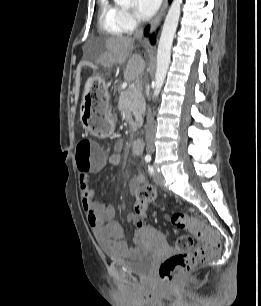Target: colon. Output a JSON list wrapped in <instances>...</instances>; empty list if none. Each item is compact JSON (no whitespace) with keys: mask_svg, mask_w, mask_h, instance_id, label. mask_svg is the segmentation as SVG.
Returning a JSON list of instances; mask_svg holds the SVG:
<instances>
[{"mask_svg":"<svg viewBox=\"0 0 261 306\" xmlns=\"http://www.w3.org/2000/svg\"><path fill=\"white\" fill-rule=\"evenodd\" d=\"M98 130L104 137L110 135L108 127L99 128ZM103 160V151L90 140L84 139L77 144L76 162L79 170L87 171L101 164ZM154 196V188L151 185L139 187L135 205V212L138 217L134 222L137 228L143 226L142 215L145 214ZM170 220L173 225L186 229L188 233L179 235L176 238L175 247L178 252L166 258L159 266V276L167 284L176 282L198 264L206 262L220 248L219 236L198 219L189 216L185 212L176 211L171 214ZM196 240L202 243L194 248Z\"/></svg>","mask_w":261,"mask_h":306,"instance_id":"obj_1","label":"colon"}]
</instances>
